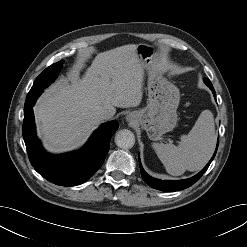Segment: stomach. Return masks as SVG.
I'll list each match as a JSON object with an SVG mask.
<instances>
[{"label":"stomach","mask_w":247,"mask_h":247,"mask_svg":"<svg viewBox=\"0 0 247 247\" xmlns=\"http://www.w3.org/2000/svg\"><path fill=\"white\" fill-rule=\"evenodd\" d=\"M135 53L148 71V104L134 112L137 123L152 140L171 131L177 122V108L180 102L179 89L166 79L156 64V48L149 44H138Z\"/></svg>","instance_id":"0dacf381"}]
</instances>
